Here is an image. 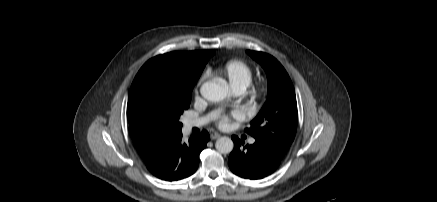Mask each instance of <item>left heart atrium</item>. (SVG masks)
<instances>
[{"instance_id":"obj_1","label":"left heart atrium","mask_w":437,"mask_h":202,"mask_svg":"<svg viewBox=\"0 0 437 202\" xmlns=\"http://www.w3.org/2000/svg\"><path fill=\"white\" fill-rule=\"evenodd\" d=\"M232 116L236 118L242 117V113L239 110H236L232 113ZM230 117L228 115H224L220 118L218 124L221 128H226L229 125Z\"/></svg>"}]
</instances>
